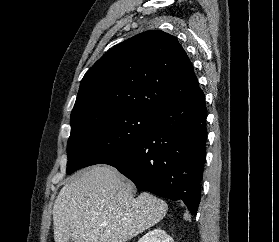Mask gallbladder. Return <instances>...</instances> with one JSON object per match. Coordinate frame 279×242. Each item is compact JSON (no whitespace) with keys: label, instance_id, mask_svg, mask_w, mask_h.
<instances>
[{"label":"gallbladder","instance_id":"bac80fb5","mask_svg":"<svg viewBox=\"0 0 279 242\" xmlns=\"http://www.w3.org/2000/svg\"><path fill=\"white\" fill-rule=\"evenodd\" d=\"M68 242H73L72 240H69Z\"/></svg>","mask_w":279,"mask_h":242}]
</instances>
